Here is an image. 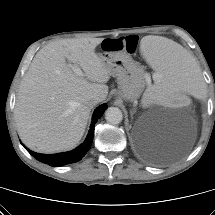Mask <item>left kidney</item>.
<instances>
[{
    "mask_svg": "<svg viewBox=\"0 0 215 215\" xmlns=\"http://www.w3.org/2000/svg\"><path fill=\"white\" fill-rule=\"evenodd\" d=\"M145 103L147 105H166L169 103L170 105H178V106H186L191 107L193 105V99L189 97H177V96H170L167 98L166 96H147L145 98Z\"/></svg>",
    "mask_w": 215,
    "mask_h": 215,
    "instance_id": "5707ae66",
    "label": "left kidney"
}]
</instances>
